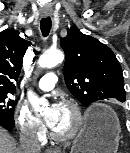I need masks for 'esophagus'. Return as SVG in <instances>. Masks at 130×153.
<instances>
[{
    "mask_svg": "<svg viewBox=\"0 0 130 153\" xmlns=\"http://www.w3.org/2000/svg\"><path fill=\"white\" fill-rule=\"evenodd\" d=\"M47 153H56V150H54V149H48L47 150Z\"/></svg>",
    "mask_w": 130,
    "mask_h": 153,
    "instance_id": "34e87169",
    "label": "esophagus"
}]
</instances>
